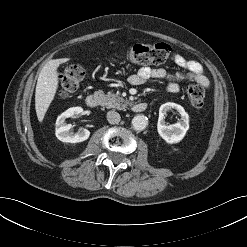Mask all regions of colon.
Returning <instances> with one entry per match:
<instances>
[{
	"mask_svg": "<svg viewBox=\"0 0 247 247\" xmlns=\"http://www.w3.org/2000/svg\"><path fill=\"white\" fill-rule=\"evenodd\" d=\"M124 58L137 65H160L173 58V51L168 44L151 43L135 44L125 53ZM85 77V71L80 65H70L59 75L60 94L64 97L77 92ZM186 95L190 104L200 108L204 104L205 91L201 85H190L186 89Z\"/></svg>",
	"mask_w": 247,
	"mask_h": 247,
	"instance_id": "colon-1",
	"label": "colon"
}]
</instances>
